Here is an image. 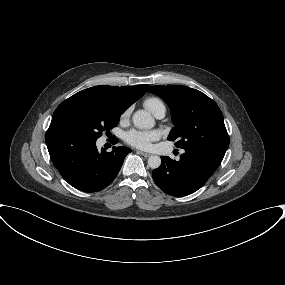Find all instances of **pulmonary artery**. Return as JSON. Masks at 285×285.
Returning <instances> with one entry per match:
<instances>
[{
	"mask_svg": "<svg viewBox=\"0 0 285 285\" xmlns=\"http://www.w3.org/2000/svg\"><path fill=\"white\" fill-rule=\"evenodd\" d=\"M165 112H166V109L165 108H158L156 109L154 112H153V115L158 118V119H161L165 116Z\"/></svg>",
	"mask_w": 285,
	"mask_h": 285,
	"instance_id": "pulmonary-artery-1",
	"label": "pulmonary artery"
}]
</instances>
